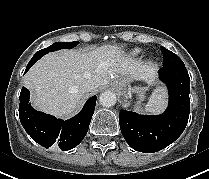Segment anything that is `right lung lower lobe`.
Masks as SVG:
<instances>
[{"label": "right lung lower lobe", "instance_id": "obj_1", "mask_svg": "<svg viewBox=\"0 0 209 179\" xmlns=\"http://www.w3.org/2000/svg\"><path fill=\"white\" fill-rule=\"evenodd\" d=\"M40 58H32L25 73ZM29 97V90L23 87L19 97V118L22 126L35 142L45 148L54 145L59 146L62 151H67L83 140L94 113L96 96L89 98L81 112L66 121L36 111L31 107Z\"/></svg>", "mask_w": 209, "mask_h": 179}]
</instances>
